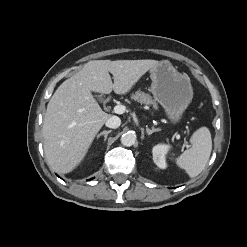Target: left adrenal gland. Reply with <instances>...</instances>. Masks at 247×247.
<instances>
[{"label": "left adrenal gland", "mask_w": 247, "mask_h": 247, "mask_svg": "<svg viewBox=\"0 0 247 247\" xmlns=\"http://www.w3.org/2000/svg\"><path fill=\"white\" fill-rule=\"evenodd\" d=\"M159 131H160L159 128L156 129V128L152 127V129H150V128H148V126H146V132H147L148 135H151L154 132H159Z\"/></svg>", "instance_id": "left-adrenal-gland-1"}]
</instances>
